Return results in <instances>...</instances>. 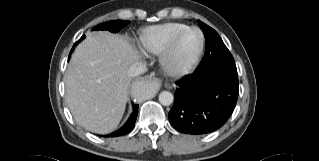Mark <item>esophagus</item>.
<instances>
[{
  "instance_id": "34e87169",
  "label": "esophagus",
  "mask_w": 319,
  "mask_h": 161,
  "mask_svg": "<svg viewBox=\"0 0 319 161\" xmlns=\"http://www.w3.org/2000/svg\"><path fill=\"white\" fill-rule=\"evenodd\" d=\"M145 80L151 82L156 89H160V87L162 86V80L154 75L146 78Z\"/></svg>"
}]
</instances>
